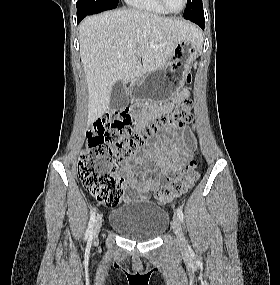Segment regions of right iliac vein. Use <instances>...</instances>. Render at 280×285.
I'll use <instances>...</instances> for the list:
<instances>
[{
    "instance_id": "63e3f726",
    "label": "right iliac vein",
    "mask_w": 280,
    "mask_h": 285,
    "mask_svg": "<svg viewBox=\"0 0 280 285\" xmlns=\"http://www.w3.org/2000/svg\"><path fill=\"white\" fill-rule=\"evenodd\" d=\"M101 224H102V218H101V216H98V218L96 219V222H95L93 233H92V238L94 240L98 237V234H99V231L101 228Z\"/></svg>"
}]
</instances>
